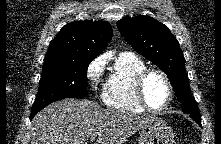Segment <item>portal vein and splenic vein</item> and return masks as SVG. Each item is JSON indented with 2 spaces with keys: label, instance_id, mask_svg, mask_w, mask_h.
<instances>
[{
  "label": "portal vein and splenic vein",
  "instance_id": "obj_1",
  "mask_svg": "<svg viewBox=\"0 0 221 144\" xmlns=\"http://www.w3.org/2000/svg\"><path fill=\"white\" fill-rule=\"evenodd\" d=\"M95 139V137H91L90 140L93 141Z\"/></svg>",
  "mask_w": 221,
  "mask_h": 144
}]
</instances>
